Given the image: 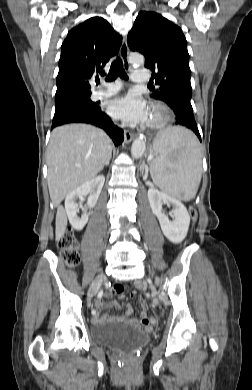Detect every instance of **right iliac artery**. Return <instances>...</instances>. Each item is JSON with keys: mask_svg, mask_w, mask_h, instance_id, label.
Wrapping results in <instances>:
<instances>
[{"mask_svg": "<svg viewBox=\"0 0 252 390\" xmlns=\"http://www.w3.org/2000/svg\"><path fill=\"white\" fill-rule=\"evenodd\" d=\"M103 295H104L103 289H100V291L98 292L97 298L102 299ZM95 312H96V309H92V311L89 312V315L94 316Z\"/></svg>", "mask_w": 252, "mask_h": 390, "instance_id": "right-iliac-artery-1", "label": "right iliac artery"}]
</instances>
